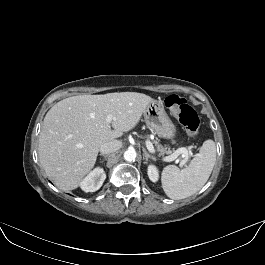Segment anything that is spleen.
<instances>
[{
	"instance_id": "1",
	"label": "spleen",
	"mask_w": 265,
	"mask_h": 265,
	"mask_svg": "<svg viewBox=\"0 0 265 265\" xmlns=\"http://www.w3.org/2000/svg\"><path fill=\"white\" fill-rule=\"evenodd\" d=\"M215 162V142L209 139L204 141L199 153L185 169H179L175 165H168L163 169L161 182L165 194L174 200L193 195L205 185Z\"/></svg>"
}]
</instances>
